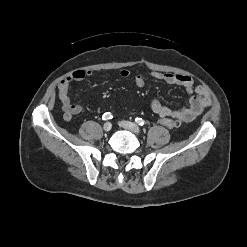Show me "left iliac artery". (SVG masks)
Instances as JSON below:
<instances>
[{
  "label": "left iliac artery",
  "instance_id": "left-iliac-artery-1",
  "mask_svg": "<svg viewBox=\"0 0 247 247\" xmlns=\"http://www.w3.org/2000/svg\"><path fill=\"white\" fill-rule=\"evenodd\" d=\"M135 122L141 126L146 125V121H144L142 118H135Z\"/></svg>",
  "mask_w": 247,
  "mask_h": 247
}]
</instances>
